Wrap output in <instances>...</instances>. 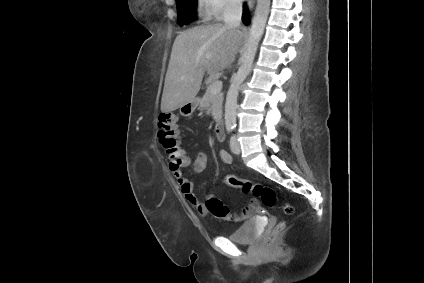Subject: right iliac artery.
<instances>
[{
    "mask_svg": "<svg viewBox=\"0 0 424 283\" xmlns=\"http://www.w3.org/2000/svg\"><path fill=\"white\" fill-rule=\"evenodd\" d=\"M233 128H234L233 126H227L226 130L228 133H230L232 132Z\"/></svg>",
    "mask_w": 424,
    "mask_h": 283,
    "instance_id": "82829eb1",
    "label": "right iliac artery"
}]
</instances>
